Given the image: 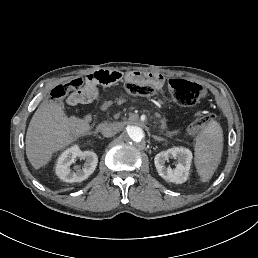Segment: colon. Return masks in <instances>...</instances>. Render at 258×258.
Returning <instances> with one entry per match:
<instances>
[{"instance_id": "obj_1", "label": "colon", "mask_w": 258, "mask_h": 258, "mask_svg": "<svg viewBox=\"0 0 258 258\" xmlns=\"http://www.w3.org/2000/svg\"><path fill=\"white\" fill-rule=\"evenodd\" d=\"M84 85L82 78H75L71 81L54 87L50 93L51 101H57L64 98L71 90H78ZM126 91L132 95L149 97L156 93V87L150 83H144L139 80L129 79L125 82ZM169 91L174 100L182 106H192L201 101L205 94V88L197 83L184 79L174 78L168 80ZM214 119L213 114H206L196 118L188 128L191 134L198 133L210 121Z\"/></svg>"}]
</instances>
